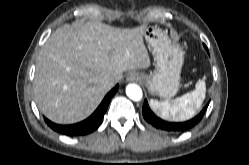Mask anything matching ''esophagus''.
<instances>
[{
  "label": "esophagus",
  "mask_w": 249,
  "mask_h": 165,
  "mask_svg": "<svg viewBox=\"0 0 249 165\" xmlns=\"http://www.w3.org/2000/svg\"><path fill=\"white\" fill-rule=\"evenodd\" d=\"M140 77L137 73H130L128 76H127V81L129 82H137L139 81Z\"/></svg>",
  "instance_id": "34e87169"
}]
</instances>
